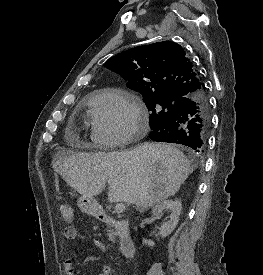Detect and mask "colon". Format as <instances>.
<instances>
[{"instance_id":"obj_1","label":"colon","mask_w":263,"mask_h":275,"mask_svg":"<svg viewBox=\"0 0 263 275\" xmlns=\"http://www.w3.org/2000/svg\"><path fill=\"white\" fill-rule=\"evenodd\" d=\"M60 216L65 222H72L74 219V210L73 208L68 205L64 204L60 206Z\"/></svg>"}]
</instances>
